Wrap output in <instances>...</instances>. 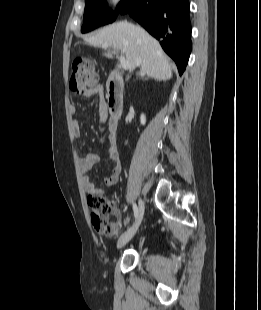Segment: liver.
Wrapping results in <instances>:
<instances>
[{"label":"liver","instance_id":"obj_1","mask_svg":"<svg viewBox=\"0 0 261 310\" xmlns=\"http://www.w3.org/2000/svg\"><path fill=\"white\" fill-rule=\"evenodd\" d=\"M84 40L94 46L107 43L114 49L120 50L130 63V71L141 66L140 75H147L161 81L172 77L169 58L159 43L140 26L121 21L104 27L95 35L84 37ZM103 55L113 58L112 52H105Z\"/></svg>","mask_w":261,"mask_h":310}]
</instances>
